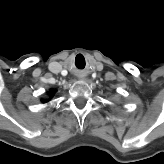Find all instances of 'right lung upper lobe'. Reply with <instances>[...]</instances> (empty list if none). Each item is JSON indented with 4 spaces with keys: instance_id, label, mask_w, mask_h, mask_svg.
Listing matches in <instances>:
<instances>
[{
    "instance_id": "obj_1",
    "label": "right lung upper lobe",
    "mask_w": 164,
    "mask_h": 164,
    "mask_svg": "<svg viewBox=\"0 0 164 164\" xmlns=\"http://www.w3.org/2000/svg\"><path fill=\"white\" fill-rule=\"evenodd\" d=\"M55 94V91L50 90L49 91V96L52 97ZM49 100H42V102L46 103Z\"/></svg>"
}]
</instances>
